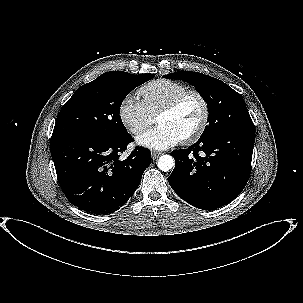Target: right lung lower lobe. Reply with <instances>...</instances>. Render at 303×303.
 <instances>
[{"label": "right lung lower lobe", "instance_id": "98d812e1", "mask_svg": "<svg viewBox=\"0 0 303 303\" xmlns=\"http://www.w3.org/2000/svg\"><path fill=\"white\" fill-rule=\"evenodd\" d=\"M131 141L128 133L118 138H51L57 178L69 202L97 215L113 213L125 204L151 163V152L143 147H136L124 160L120 158Z\"/></svg>", "mask_w": 303, "mask_h": 303}]
</instances>
